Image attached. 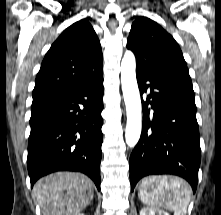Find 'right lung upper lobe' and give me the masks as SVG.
<instances>
[{"instance_id": "cb5924a9", "label": "right lung upper lobe", "mask_w": 221, "mask_h": 215, "mask_svg": "<svg viewBox=\"0 0 221 215\" xmlns=\"http://www.w3.org/2000/svg\"><path fill=\"white\" fill-rule=\"evenodd\" d=\"M99 39L87 19L69 26L52 44L35 80L31 107L99 78L102 72Z\"/></svg>"}]
</instances>
